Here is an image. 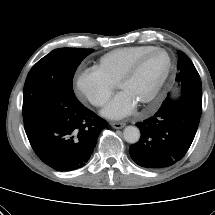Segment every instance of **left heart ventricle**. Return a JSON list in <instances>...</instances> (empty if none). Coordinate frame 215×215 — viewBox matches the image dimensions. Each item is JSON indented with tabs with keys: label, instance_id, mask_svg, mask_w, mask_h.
<instances>
[{
	"label": "left heart ventricle",
	"instance_id": "left-heart-ventricle-1",
	"mask_svg": "<svg viewBox=\"0 0 215 215\" xmlns=\"http://www.w3.org/2000/svg\"><path fill=\"white\" fill-rule=\"evenodd\" d=\"M168 67V58L163 53L149 56L135 75L120 88L132 101L139 105L155 89Z\"/></svg>",
	"mask_w": 215,
	"mask_h": 215
}]
</instances>
